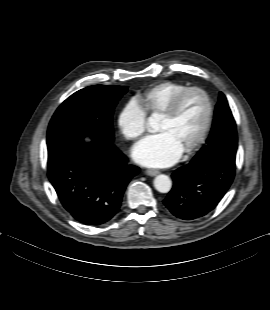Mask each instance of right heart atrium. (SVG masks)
Segmentation results:
<instances>
[{
	"label": "right heart atrium",
	"instance_id": "d8ad5b80",
	"mask_svg": "<svg viewBox=\"0 0 270 310\" xmlns=\"http://www.w3.org/2000/svg\"><path fill=\"white\" fill-rule=\"evenodd\" d=\"M118 126L128 140L139 139L147 129V112L135 99L129 100L118 116Z\"/></svg>",
	"mask_w": 270,
	"mask_h": 310
}]
</instances>
